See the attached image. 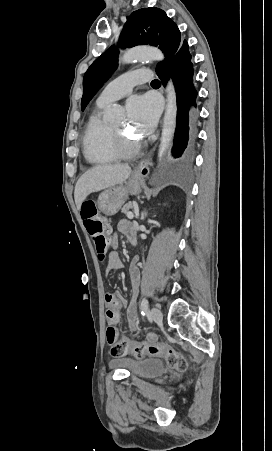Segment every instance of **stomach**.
Segmentation results:
<instances>
[{
	"mask_svg": "<svg viewBox=\"0 0 272 451\" xmlns=\"http://www.w3.org/2000/svg\"><path fill=\"white\" fill-rule=\"evenodd\" d=\"M145 178V176H144ZM144 178H135L134 174L129 178L127 186H112L109 190L101 192L98 196V208L105 216H114L128 200V194H140V184Z\"/></svg>",
	"mask_w": 272,
	"mask_h": 451,
	"instance_id": "1",
	"label": "stomach"
}]
</instances>
